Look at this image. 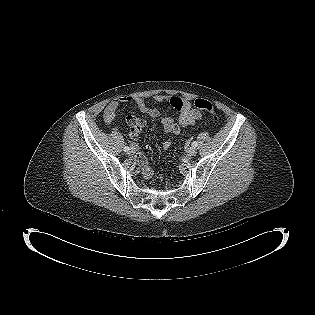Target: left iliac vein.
<instances>
[{
  "label": "left iliac vein",
  "instance_id": "obj_1",
  "mask_svg": "<svg viewBox=\"0 0 315 315\" xmlns=\"http://www.w3.org/2000/svg\"><path fill=\"white\" fill-rule=\"evenodd\" d=\"M195 154H196V149L194 147H189L186 150V155L189 157L194 156Z\"/></svg>",
  "mask_w": 315,
  "mask_h": 315
}]
</instances>
